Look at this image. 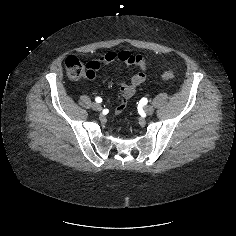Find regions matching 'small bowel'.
Instances as JSON below:
<instances>
[{"label":"small bowel","mask_w":236,"mask_h":236,"mask_svg":"<svg viewBox=\"0 0 236 236\" xmlns=\"http://www.w3.org/2000/svg\"><path fill=\"white\" fill-rule=\"evenodd\" d=\"M121 61L129 66L137 68L139 71L133 75L130 83L118 82V103L114 108V114L119 115L125 109V100L131 98L137 87L146 81V60L142 55L132 54L129 51H109L105 53L100 59L87 62V67L91 70V79L95 77L96 73L103 67L112 64L115 61Z\"/></svg>","instance_id":"obj_1"}]
</instances>
